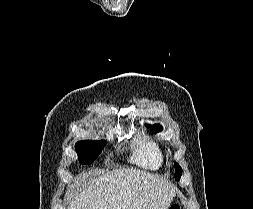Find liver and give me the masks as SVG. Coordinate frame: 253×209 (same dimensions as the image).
<instances>
[{"mask_svg": "<svg viewBox=\"0 0 253 209\" xmlns=\"http://www.w3.org/2000/svg\"><path fill=\"white\" fill-rule=\"evenodd\" d=\"M78 181L79 192L66 194L68 209H168L177 194L166 178L132 168L89 172Z\"/></svg>", "mask_w": 253, "mask_h": 209, "instance_id": "liver-1", "label": "liver"}]
</instances>
